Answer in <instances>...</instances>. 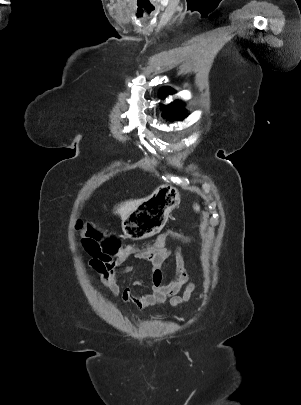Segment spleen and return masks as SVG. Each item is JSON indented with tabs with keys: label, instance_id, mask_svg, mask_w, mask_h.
<instances>
[{
	"label": "spleen",
	"instance_id": "obj_1",
	"mask_svg": "<svg viewBox=\"0 0 301 405\" xmlns=\"http://www.w3.org/2000/svg\"><path fill=\"white\" fill-rule=\"evenodd\" d=\"M194 208L196 211H199V206L196 205V206H194Z\"/></svg>",
	"mask_w": 301,
	"mask_h": 405
}]
</instances>
